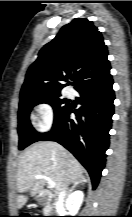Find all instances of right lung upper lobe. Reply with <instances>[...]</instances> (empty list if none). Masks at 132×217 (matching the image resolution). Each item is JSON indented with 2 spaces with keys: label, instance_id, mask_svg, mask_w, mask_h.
<instances>
[{
  "label": "right lung upper lobe",
  "instance_id": "right-lung-upper-lobe-1",
  "mask_svg": "<svg viewBox=\"0 0 132 217\" xmlns=\"http://www.w3.org/2000/svg\"><path fill=\"white\" fill-rule=\"evenodd\" d=\"M107 47L91 21L76 18L63 26L29 67L20 98L60 94L74 81L75 89L99 84L111 77Z\"/></svg>",
  "mask_w": 132,
  "mask_h": 217
}]
</instances>
